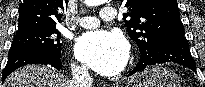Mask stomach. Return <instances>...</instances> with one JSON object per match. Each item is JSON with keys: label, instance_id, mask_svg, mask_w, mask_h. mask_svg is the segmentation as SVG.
Here are the masks:
<instances>
[{"label": "stomach", "instance_id": "stomach-1", "mask_svg": "<svg viewBox=\"0 0 205 87\" xmlns=\"http://www.w3.org/2000/svg\"><path fill=\"white\" fill-rule=\"evenodd\" d=\"M126 87H181V81L173 71L155 65L132 76Z\"/></svg>", "mask_w": 205, "mask_h": 87}]
</instances>
